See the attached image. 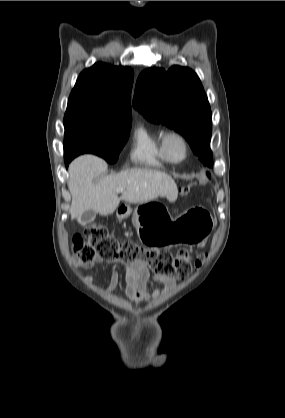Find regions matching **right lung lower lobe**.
I'll return each mask as SVG.
<instances>
[{
	"label": "right lung lower lobe",
	"instance_id": "right-lung-lower-lobe-1",
	"mask_svg": "<svg viewBox=\"0 0 285 418\" xmlns=\"http://www.w3.org/2000/svg\"><path fill=\"white\" fill-rule=\"evenodd\" d=\"M71 161H72V159L65 160L66 167L68 166V164H69Z\"/></svg>",
	"mask_w": 285,
	"mask_h": 418
}]
</instances>
